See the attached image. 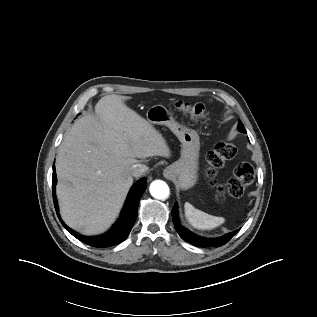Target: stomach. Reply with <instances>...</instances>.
<instances>
[{"instance_id": "stomach-1", "label": "stomach", "mask_w": 317, "mask_h": 317, "mask_svg": "<svg viewBox=\"0 0 317 317\" xmlns=\"http://www.w3.org/2000/svg\"><path fill=\"white\" fill-rule=\"evenodd\" d=\"M150 124L165 125L177 136L181 142L180 158L167 166L164 175L169 173L178 189L188 190L192 188L198 179L200 138L193 129L178 123L173 114L163 105H153L146 113Z\"/></svg>"}]
</instances>
